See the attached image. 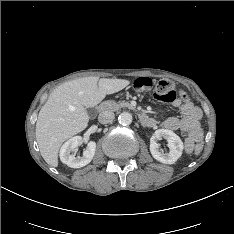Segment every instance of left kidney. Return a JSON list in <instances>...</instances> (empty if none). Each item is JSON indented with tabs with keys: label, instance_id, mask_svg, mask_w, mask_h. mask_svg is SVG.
I'll list each match as a JSON object with an SVG mask.
<instances>
[{
	"label": "left kidney",
	"instance_id": "1",
	"mask_svg": "<svg viewBox=\"0 0 234 234\" xmlns=\"http://www.w3.org/2000/svg\"><path fill=\"white\" fill-rule=\"evenodd\" d=\"M162 138L168 142V153L159 150L157 141ZM183 149L184 145L180 137L168 129L156 130L150 139V152L153 158L164 164H174L181 157Z\"/></svg>",
	"mask_w": 234,
	"mask_h": 234
}]
</instances>
